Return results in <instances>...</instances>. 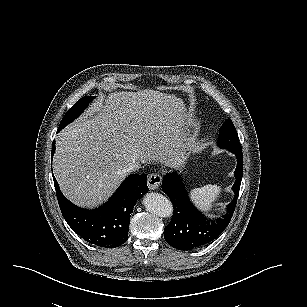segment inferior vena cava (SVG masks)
Wrapping results in <instances>:
<instances>
[{
  "label": "inferior vena cava",
  "mask_w": 307,
  "mask_h": 307,
  "mask_svg": "<svg viewBox=\"0 0 307 307\" xmlns=\"http://www.w3.org/2000/svg\"><path fill=\"white\" fill-rule=\"evenodd\" d=\"M140 166H138L136 163H131L126 169H125V173H136L140 170Z\"/></svg>",
  "instance_id": "602c4592"
}]
</instances>
